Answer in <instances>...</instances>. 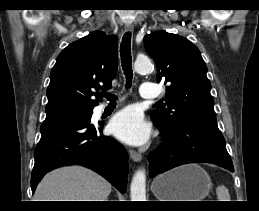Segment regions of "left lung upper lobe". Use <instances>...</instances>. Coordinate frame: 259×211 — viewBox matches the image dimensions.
<instances>
[{"label":"left lung upper lobe","mask_w":259,"mask_h":211,"mask_svg":"<svg viewBox=\"0 0 259 211\" xmlns=\"http://www.w3.org/2000/svg\"><path fill=\"white\" fill-rule=\"evenodd\" d=\"M145 49L157 65V82L167 84V109L150 116L164 130L189 120L217 126L207 66L199 49L188 39L164 30L144 38Z\"/></svg>","instance_id":"left-lung-upper-lobe-1"}]
</instances>
